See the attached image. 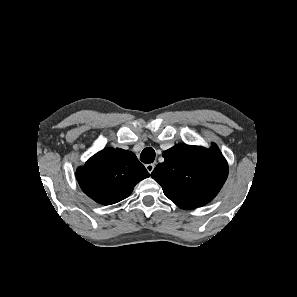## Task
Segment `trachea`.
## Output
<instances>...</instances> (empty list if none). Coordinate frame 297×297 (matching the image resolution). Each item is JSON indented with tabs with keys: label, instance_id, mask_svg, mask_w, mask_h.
Listing matches in <instances>:
<instances>
[{
	"label": "trachea",
	"instance_id": "obj_1",
	"mask_svg": "<svg viewBox=\"0 0 297 297\" xmlns=\"http://www.w3.org/2000/svg\"><path fill=\"white\" fill-rule=\"evenodd\" d=\"M155 159V150L151 147H146L140 155V160L143 163L150 164Z\"/></svg>",
	"mask_w": 297,
	"mask_h": 297
}]
</instances>
